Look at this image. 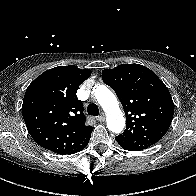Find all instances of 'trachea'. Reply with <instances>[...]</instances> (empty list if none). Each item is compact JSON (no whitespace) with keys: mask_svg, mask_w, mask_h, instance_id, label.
I'll return each instance as SVG.
<instances>
[{"mask_svg":"<svg viewBox=\"0 0 196 196\" xmlns=\"http://www.w3.org/2000/svg\"><path fill=\"white\" fill-rule=\"evenodd\" d=\"M87 112L89 115L98 116L99 115L98 106L94 103L89 104L87 107Z\"/></svg>","mask_w":196,"mask_h":196,"instance_id":"3493384b","label":"trachea"}]
</instances>
